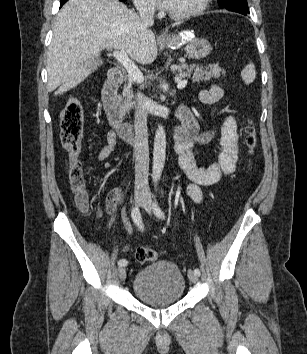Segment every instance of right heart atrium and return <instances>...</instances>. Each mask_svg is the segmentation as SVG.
<instances>
[{
  "label": "right heart atrium",
  "instance_id": "d8ad5b80",
  "mask_svg": "<svg viewBox=\"0 0 307 354\" xmlns=\"http://www.w3.org/2000/svg\"><path fill=\"white\" fill-rule=\"evenodd\" d=\"M135 6L138 10L146 13H151L154 11L153 0H133Z\"/></svg>",
  "mask_w": 307,
  "mask_h": 354
}]
</instances>
